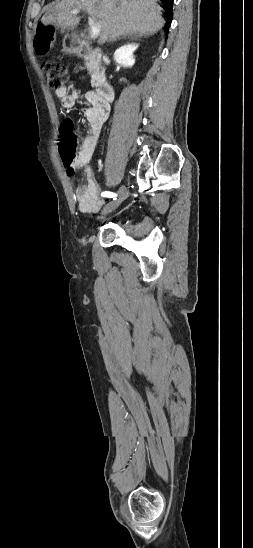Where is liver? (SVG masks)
<instances>
[{"label":"liver","mask_w":253,"mask_h":548,"mask_svg":"<svg viewBox=\"0 0 253 548\" xmlns=\"http://www.w3.org/2000/svg\"><path fill=\"white\" fill-rule=\"evenodd\" d=\"M74 9L98 18L100 45L125 35H153L165 24L161 7L155 0H61L48 9L41 23L73 30L80 22V18L71 13Z\"/></svg>","instance_id":"1"}]
</instances>
